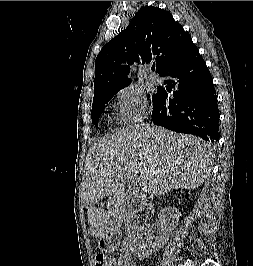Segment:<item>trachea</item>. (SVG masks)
<instances>
[{
    "mask_svg": "<svg viewBox=\"0 0 253 266\" xmlns=\"http://www.w3.org/2000/svg\"><path fill=\"white\" fill-rule=\"evenodd\" d=\"M152 70H155V67L154 66L152 67Z\"/></svg>",
    "mask_w": 253,
    "mask_h": 266,
    "instance_id": "trachea-1",
    "label": "trachea"
}]
</instances>
